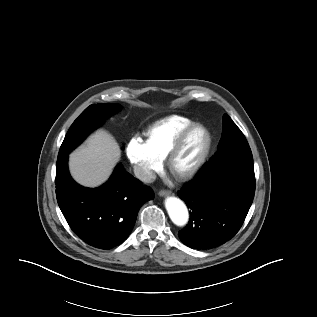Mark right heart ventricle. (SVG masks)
<instances>
[{"label": "right heart ventricle", "mask_w": 317, "mask_h": 317, "mask_svg": "<svg viewBox=\"0 0 317 317\" xmlns=\"http://www.w3.org/2000/svg\"><path fill=\"white\" fill-rule=\"evenodd\" d=\"M192 123L189 118L177 115L161 119L146 129L145 143L162 160L177 136Z\"/></svg>", "instance_id": "e07e8e85"}]
</instances>
